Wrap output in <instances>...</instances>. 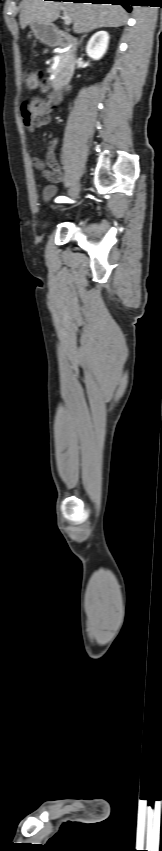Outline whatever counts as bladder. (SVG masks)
I'll return each mask as SVG.
<instances>
[{"label": "bladder", "mask_w": 162, "mask_h": 851, "mask_svg": "<svg viewBox=\"0 0 162 851\" xmlns=\"http://www.w3.org/2000/svg\"><path fill=\"white\" fill-rule=\"evenodd\" d=\"M55 188L53 186H46L43 192V196L46 200L50 199L54 194Z\"/></svg>", "instance_id": "obj_1"}]
</instances>
